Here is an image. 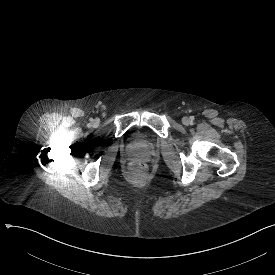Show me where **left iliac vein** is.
Returning a JSON list of instances; mask_svg holds the SVG:
<instances>
[{
  "label": "left iliac vein",
  "mask_w": 275,
  "mask_h": 275,
  "mask_svg": "<svg viewBox=\"0 0 275 275\" xmlns=\"http://www.w3.org/2000/svg\"><path fill=\"white\" fill-rule=\"evenodd\" d=\"M182 122H183L184 125H188L190 121H189V119L187 117H184L182 119Z\"/></svg>",
  "instance_id": "obj_1"
}]
</instances>
